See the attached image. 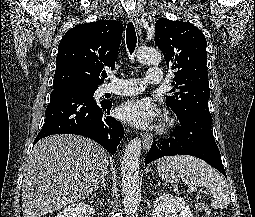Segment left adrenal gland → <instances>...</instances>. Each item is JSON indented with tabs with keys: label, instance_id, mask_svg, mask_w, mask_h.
<instances>
[{
	"label": "left adrenal gland",
	"instance_id": "left-adrenal-gland-1",
	"mask_svg": "<svg viewBox=\"0 0 255 217\" xmlns=\"http://www.w3.org/2000/svg\"><path fill=\"white\" fill-rule=\"evenodd\" d=\"M160 184H161V183H160V182H158V183H157V186H158V185H160Z\"/></svg>",
	"mask_w": 255,
	"mask_h": 217
}]
</instances>
